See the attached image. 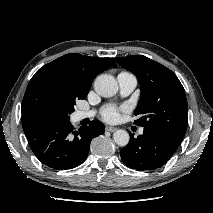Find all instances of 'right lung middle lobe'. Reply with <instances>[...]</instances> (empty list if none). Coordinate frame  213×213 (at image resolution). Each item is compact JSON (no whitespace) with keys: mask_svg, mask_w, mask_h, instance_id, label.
<instances>
[{"mask_svg":"<svg viewBox=\"0 0 213 213\" xmlns=\"http://www.w3.org/2000/svg\"><path fill=\"white\" fill-rule=\"evenodd\" d=\"M87 94L88 91H81L49 78H39L29 82L21 112L69 120L76 100L85 99Z\"/></svg>","mask_w":213,"mask_h":213,"instance_id":"right-lung-middle-lobe-1","label":"right lung middle lobe"}]
</instances>
